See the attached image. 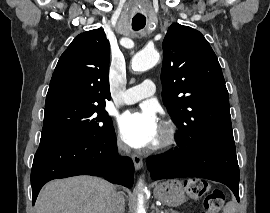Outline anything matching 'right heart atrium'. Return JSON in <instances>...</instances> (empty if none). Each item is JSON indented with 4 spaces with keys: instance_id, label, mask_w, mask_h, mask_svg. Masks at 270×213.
<instances>
[{
    "instance_id": "obj_1",
    "label": "right heart atrium",
    "mask_w": 270,
    "mask_h": 213,
    "mask_svg": "<svg viewBox=\"0 0 270 213\" xmlns=\"http://www.w3.org/2000/svg\"><path fill=\"white\" fill-rule=\"evenodd\" d=\"M116 147H117L119 152H125L126 151V147L124 146V144L120 140L116 141Z\"/></svg>"
}]
</instances>
